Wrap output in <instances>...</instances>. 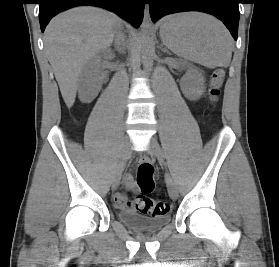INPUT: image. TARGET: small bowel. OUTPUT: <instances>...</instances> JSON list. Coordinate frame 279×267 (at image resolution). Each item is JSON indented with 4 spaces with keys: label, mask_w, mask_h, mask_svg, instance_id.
<instances>
[{
    "label": "small bowel",
    "mask_w": 279,
    "mask_h": 267,
    "mask_svg": "<svg viewBox=\"0 0 279 267\" xmlns=\"http://www.w3.org/2000/svg\"><path fill=\"white\" fill-rule=\"evenodd\" d=\"M126 187L130 190H135L136 185L132 176L129 174L125 181ZM115 206L120 210H132L134 208V202L127 200L122 194L116 193L113 197Z\"/></svg>",
    "instance_id": "c3829d8e"
}]
</instances>
